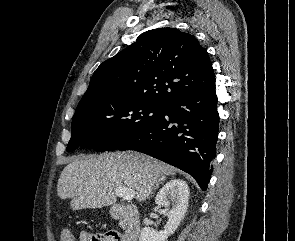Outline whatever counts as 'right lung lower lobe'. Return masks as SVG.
Masks as SVG:
<instances>
[{"mask_svg": "<svg viewBox=\"0 0 295 241\" xmlns=\"http://www.w3.org/2000/svg\"><path fill=\"white\" fill-rule=\"evenodd\" d=\"M218 123L214 81L169 100L156 119L117 149L139 151L180 168L206 190L216 156Z\"/></svg>", "mask_w": 295, "mask_h": 241, "instance_id": "right-lung-lower-lobe-1", "label": "right lung lower lobe"}]
</instances>
